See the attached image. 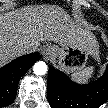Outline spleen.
<instances>
[{"label": "spleen", "mask_w": 108, "mask_h": 108, "mask_svg": "<svg viewBox=\"0 0 108 108\" xmlns=\"http://www.w3.org/2000/svg\"><path fill=\"white\" fill-rule=\"evenodd\" d=\"M92 74V68H86L81 72L74 73L72 77L78 82H86Z\"/></svg>", "instance_id": "obj_1"}]
</instances>
